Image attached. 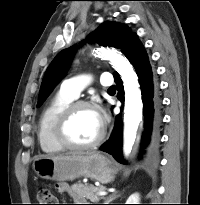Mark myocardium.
I'll return each mask as SVG.
<instances>
[{
	"label": "myocardium",
	"instance_id": "f54148a6",
	"mask_svg": "<svg viewBox=\"0 0 200 205\" xmlns=\"http://www.w3.org/2000/svg\"><path fill=\"white\" fill-rule=\"evenodd\" d=\"M81 108H88L96 111L95 106L90 102L78 100V101H73L69 105H67L57 118L55 128H54V136L57 142L63 148L70 149V150H86V149L95 148L104 140L106 136V125L102 121L100 133L93 141L85 144H78L72 142L68 138L67 135L68 123L71 120L74 113Z\"/></svg>",
	"mask_w": 200,
	"mask_h": 205
}]
</instances>
